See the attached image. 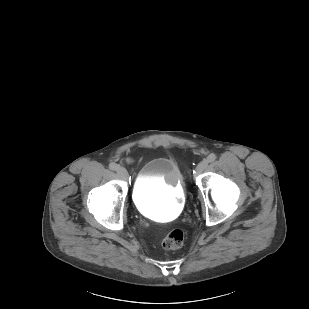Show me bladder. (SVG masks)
<instances>
[{"instance_id": "1", "label": "bladder", "mask_w": 309, "mask_h": 309, "mask_svg": "<svg viewBox=\"0 0 309 309\" xmlns=\"http://www.w3.org/2000/svg\"><path fill=\"white\" fill-rule=\"evenodd\" d=\"M183 176L178 164L167 157L147 161L139 170L133 201L142 213L158 220L175 217L183 201Z\"/></svg>"}]
</instances>
